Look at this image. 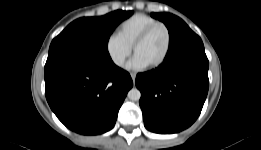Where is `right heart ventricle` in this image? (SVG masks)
Segmentation results:
<instances>
[{"label":"right heart ventricle","mask_w":261,"mask_h":150,"mask_svg":"<svg viewBox=\"0 0 261 150\" xmlns=\"http://www.w3.org/2000/svg\"><path fill=\"white\" fill-rule=\"evenodd\" d=\"M159 22L143 13H136L123 20L116 29V35L132 48L138 36L150 25Z\"/></svg>","instance_id":"obj_1"}]
</instances>
